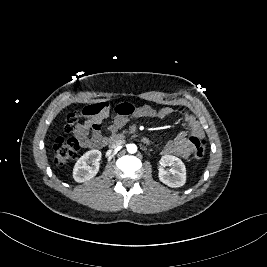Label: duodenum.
<instances>
[{"instance_id":"obj_1","label":"duodenum","mask_w":267,"mask_h":267,"mask_svg":"<svg viewBox=\"0 0 267 267\" xmlns=\"http://www.w3.org/2000/svg\"><path fill=\"white\" fill-rule=\"evenodd\" d=\"M122 141H123V137L121 135H113L109 139V144L111 145V148H116L118 145L121 144ZM142 141L143 143L147 144L149 142V139L146 137H143Z\"/></svg>"}]
</instances>
